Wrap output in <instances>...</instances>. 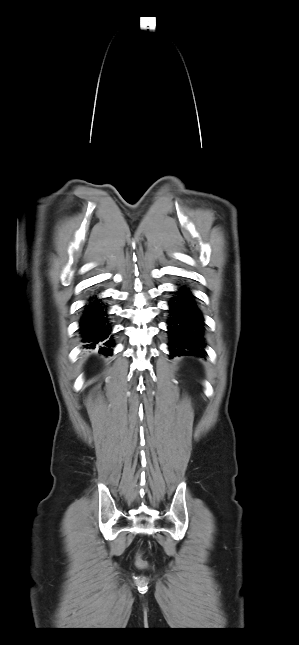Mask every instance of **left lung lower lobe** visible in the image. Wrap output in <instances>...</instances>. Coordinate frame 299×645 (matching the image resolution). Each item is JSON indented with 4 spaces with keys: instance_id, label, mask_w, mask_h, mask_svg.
<instances>
[{
    "instance_id": "0a47b994",
    "label": "left lung lower lobe",
    "mask_w": 299,
    "mask_h": 645,
    "mask_svg": "<svg viewBox=\"0 0 299 645\" xmlns=\"http://www.w3.org/2000/svg\"><path fill=\"white\" fill-rule=\"evenodd\" d=\"M169 313L167 324L170 357L189 354L204 356V318L189 289L181 287L175 292V296L169 301Z\"/></svg>"
}]
</instances>
